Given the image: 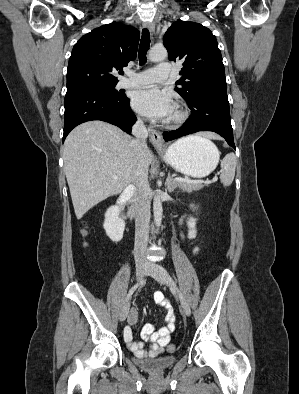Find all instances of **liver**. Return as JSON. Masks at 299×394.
Returning a JSON list of instances; mask_svg holds the SVG:
<instances>
[{
    "mask_svg": "<svg viewBox=\"0 0 299 394\" xmlns=\"http://www.w3.org/2000/svg\"><path fill=\"white\" fill-rule=\"evenodd\" d=\"M203 135L217 137L213 133ZM144 159L149 167L152 153L148 147ZM63 160L77 219L133 182V139L118 127L102 121L85 122L73 129L63 145Z\"/></svg>",
    "mask_w": 299,
    "mask_h": 394,
    "instance_id": "obj_1",
    "label": "liver"
}]
</instances>
